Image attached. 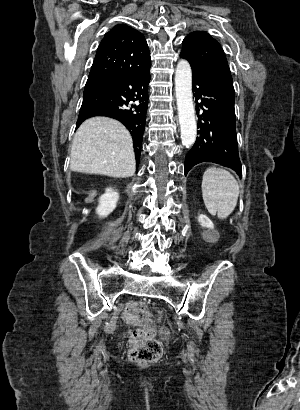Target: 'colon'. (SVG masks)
Segmentation results:
<instances>
[{"mask_svg":"<svg viewBox=\"0 0 300 410\" xmlns=\"http://www.w3.org/2000/svg\"><path fill=\"white\" fill-rule=\"evenodd\" d=\"M124 316L131 327L140 326L130 337L129 358L138 364L156 362L162 355L160 342L154 337L157 322L150 321L149 309L146 304L130 302L126 305Z\"/></svg>","mask_w":300,"mask_h":410,"instance_id":"5ec220e1","label":"colon"}]
</instances>
